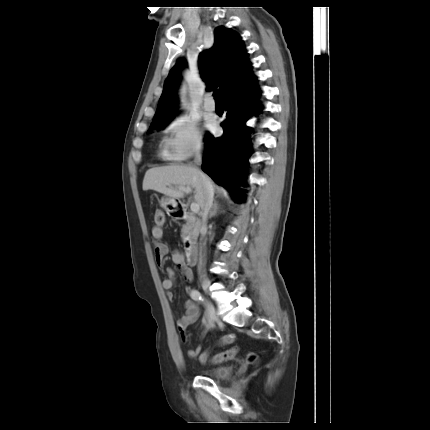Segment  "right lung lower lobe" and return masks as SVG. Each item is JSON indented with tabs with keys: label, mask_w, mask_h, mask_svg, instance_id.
<instances>
[{
	"label": "right lung lower lobe",
	"mask_w": 430,
	"mask_h": 430,
	"mask_svg": "<svg viewBox=\"0 0 430 430\" xmlns=\"http://www.w3.org/2000/svg\"><path fill=\"white\" fill-rule=\"evenodd\" d=\"M255 81L253 75L244 79L224 97L225 109L228 110L226 120L221 124L224 134L221 138L207 136L202 164V170L228 189L234 200L240 203L245 197L237 185L242 183L240 178L244 175L251 150V131L246 122L261 112L260 90Z\"/></svg>",
	"instance_id": "98d812e1"
}]
</instances>
